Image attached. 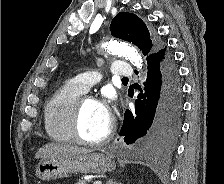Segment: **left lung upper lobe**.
Returning a JSON list of instances; mask_svg holds the SVG:
<instances>
[{"mask_svg": "<svg viewBox=\"0 0 224 184\" xmlns=\"http://www.w3.org/2000/svg\"><path fill=\"white\" fill-rule=\"evenodd\" d=\"M111 34L137 45L147 58L163 49L159 42H152L145 23L135 14L120 12L111 22Z\"/></svg>", "mask_w": 224, "mask_h": 184, "instance_id": "left-lung-upper-lobe-1", "label": "left lung upper lobe"}]
</instances>
